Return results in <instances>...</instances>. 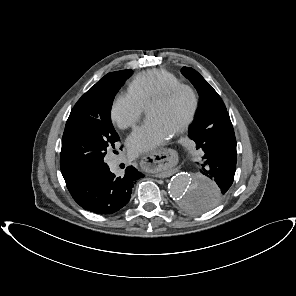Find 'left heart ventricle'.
<instances>
[{
    "label": "left heart ventricle",
    "instance_id": "b2bd125f",
    "mask_svg": "<svg viewBox=\"0 0 296 296\" xmlns=\"http://www.w3.org/2000/svg\"><path fill=\"white\" fill-rule=\"evenodd\" d=\"M190 107L189 95L181 92L168 102L150 106L147 115L159 119L174 131L187 117Z\"/></svg>",
    "mask_w": 296,
    "mask_h": 296
}]
</instances>
